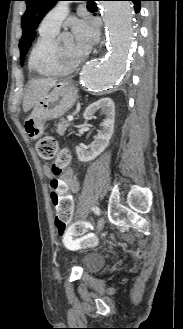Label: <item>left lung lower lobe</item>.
<instances>
[{
	"label": "left lung lower lobe",
	"mask_w": 183,
	"mask_h": 329,
	"mask_svg": "<svg viewBox=\"0 0 183 329\" xmlns=\"http://www.w3.org/2000/svg\"><path fill=\"white\" fill-rule=\"evenodd\" d=\"M130 1H132L134 3L135 10L137 12H139L140 11V1H143V0H130Z\"/></svg>",
	"instance_id": "1"
}]
</instances>
